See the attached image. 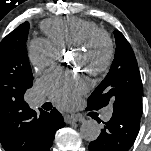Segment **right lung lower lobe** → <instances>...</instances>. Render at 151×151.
<instances>
[{
  "mask_svg": "<svg viewBox=\"0 0 151 151\" xmlns=\"http://www.w3.org/2000/svg\"><path fill=\"white\" fill-rule=\"evenodd\" d=\"M42 115L45 134L40 151H50L56 131L64 127L65 123L62 115L55 108L50 113L43 111Z\"/></svg>",
  "mask_w": 151,
  "mask_h": 151,
  "instance_id": "right-lung-lower-lobe-1",
  "label": "right lung lower lobe"
}]
</instances>
